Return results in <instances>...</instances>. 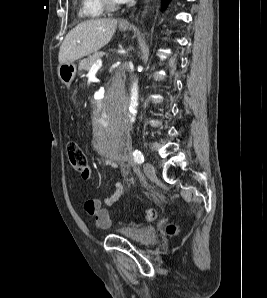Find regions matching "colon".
I'll list each match as a JSON object with an SVG mask.
<instances>
[{
	"instance_id": "5ec220e1",
	"label": "colon",
	"mask_w": 267,
	"mask_h": 298,
	"mask_svg": "<svg viewBox=\"0 0 267 298\" xmlns=\"http://www.w3.org/2000/svg\"><path fill=\"white\" fill-rule=\"evenodd\" d=\"M66 154L70 165L81 175H86L88 171L87 157L81 146L76 141H69L66 145ZM157 216L156 210L149 208L144 211L143 218L145 221H153ZM169 235H174L178 232V226L175 223H170L166 227Z\"/></svg>"
}]
</instances>
